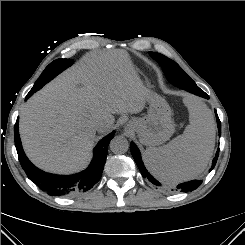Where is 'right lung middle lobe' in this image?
Listing matches in <instances>:
<instances>
[{
	"label": "right lung middle lobe",
	"mask_w": 245,
	"mask_h": 245,
	"mask_svg": "<svg viewBox=\"0 0 245 245\" xmlns=\"http://www.w3.org/2000/svg\"><path fill=\"white\" fill-rule=\"evenodd\" d=\"M72 59H57L50 63L46 69L42 72L38 80L35 82L33 88L31 91L36 92L40 88H42V84L46 81L49 82L51 79H53L56 75H58L60 72L68 68L73 64Z\"/></svg>",
	"instance_id": "1"
}]
</instances>
